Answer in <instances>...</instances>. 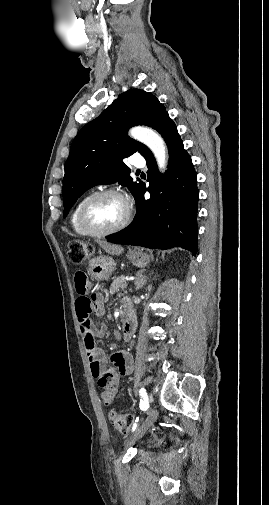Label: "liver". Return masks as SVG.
<instances>
[{
	"instance_id": "6515ba94",
	"label": "liver",
	"mask_w": 269,
	"mask_h": 505,
	"mask_svg": "<svg viewBox=\"0 0 269 505\" xmlns=\"http://www.w3.org/2000/svg\"><path fill=\"white\" fill-rule=\"evenodd\" d=\"M103 248L108 254L120 255L123 252V248L118 245L104 244Z\"/></svg>"
}]
</instances>
